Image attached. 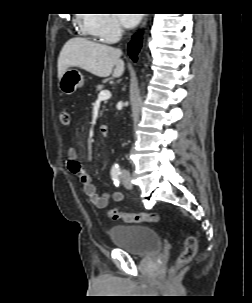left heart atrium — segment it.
Here are the masks:
<instances>
[{"mask_svg":"<svg viewBox=\"0 0 252 303\" xmlns=\"http://www.w3.org/2000/svg\"><path fill=\"white\" fill-rule=\"evenodd\" d=\"M120 22L127 28L134 27L140 20L139 14H117Z\"/></svg>","mask_w":252,"mask_h":303,"instance_id":"left-heart-atrium-1","label":"left heart atrium"}]
</instances>
